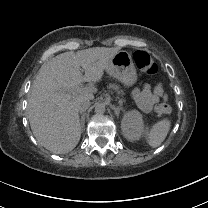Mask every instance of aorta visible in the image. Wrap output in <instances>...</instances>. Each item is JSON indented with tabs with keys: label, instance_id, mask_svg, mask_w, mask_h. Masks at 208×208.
<instances>
[{
	"label": "aorta",
	"instance_id": "aorta-1",
	"mask_svg": "<svg viewBox=\"0 0 208 208\" xmlns=\"http://www.w3.org/2000/svg\"><path fill=\"white\" fill-rule=\"evenodd\" d=\"M105 112V105L102 103H98L95 105V113L96 114H104Z\"/></svg>",
	"mask_w": 208,
	"mask_h": 208
}]
</instances>
